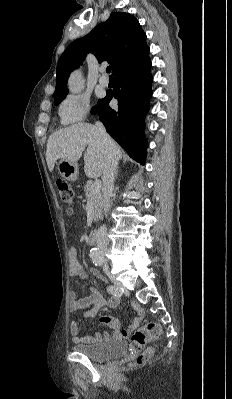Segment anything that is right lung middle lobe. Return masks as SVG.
Returning <instances> with one entry per match:
<instances>
[{"label": "right lung middle lobe", "instance_id": "dd1d6c3e", "mask_svg": "<svg viewBox=\"0 0 232 399\" xmlns=\"http://www.w3.org/2000/svg\"><path fill=\"white\" fill-rule=\"evenodd\" d=\"M67 93H68V92L62 93V94L54 95V96H53V98H55V102H54V103L57 105L60 101H62V100L65 98V96L67 95Z\"/></svg>", "mask_w": 232, "mask_h": 399}]
</instances>
